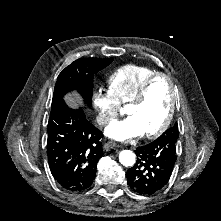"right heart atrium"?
Returning <instances> with one entry per match:
<instances>
[{
	"instance_id": "obj_1",
	"label": "right heart atrium",
	"mask_w": 221,
	"mask_h": 221,
	"mask_svg": "<svg viewBox=\"0 0 221 221\" xmlns=\"http://www.w3.org/2000/svg\"><path fill=\"white\" fill-rule=\"evenodd\" d=\"M92 104L97 114V121L101 126H107L119 114V100L110 90L99 88L94 91Z\"/></svg>"
}]
</instances>
